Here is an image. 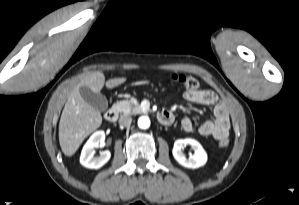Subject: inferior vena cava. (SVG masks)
I'll use <instances>...</instances> for the list:
<instances>
[{"label": "inferior vena cava", "instance_id": "1", "mask_svg": "<svg viewBox=\"0 0 299 205\" xmlns=\"http://www.w3.org/2000/svg\"><path fill=\"white\" fill-rule=\"evenodd\" d=\"M132 118L130 116H121L119 119V124L125 127H129L131 125Z\"/></svg>", "mask_w": 299, "mask_h": 205}]
</instances>
